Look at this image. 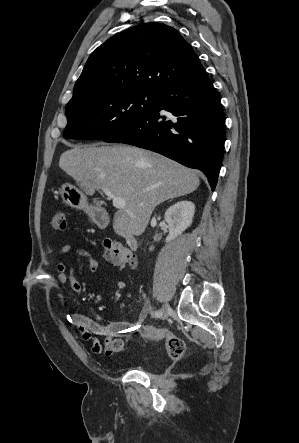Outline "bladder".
Wrapping results in <instances>:
<instances>
[{"label":"bladder","mask_w":299,"mask_h":443,"mask_svg":"<svg viewBox=\"0 0 299 443\" xmlns=\"http://www.w3.org/2000/svg\"><path fill=\"white\" fill-rule=\"evenodd\" d=\"M141 368L145 371H148V366L146 364L142 365Z\"/></svg>","instance_id":"1"}]
</instances>
